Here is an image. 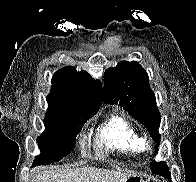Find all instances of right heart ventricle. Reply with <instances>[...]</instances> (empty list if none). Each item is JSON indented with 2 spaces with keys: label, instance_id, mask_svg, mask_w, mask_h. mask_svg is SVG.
<instances>
[{
  "label": "right heart ventricle",
  "instance_id": "1",
  "mask_svg": "<svg viewBox=\"0 0 196 182\" xmlns=\"http://www.w3.org/2000/svg\"><path fill=\"white\" fill-rule=\"evenodd\" d=\"M100 145L106 150L131 154L143 151V141L134 124L125 116L112 113L98 132Z\"/></svg>",
  "mask_w": 196,
  "mask_h": 182
}]
</instances>
